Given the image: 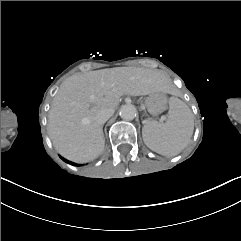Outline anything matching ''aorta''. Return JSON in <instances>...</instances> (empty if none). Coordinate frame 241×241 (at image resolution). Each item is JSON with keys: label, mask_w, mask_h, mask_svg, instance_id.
I'll list each match as a JSON object with an SVG mask.
<instances>
[{"label": "aorta", "mask_w": 241, "mask_h": 241, "mask_svg": "<svg viewBox=\"0 0 241 241\" xmlns=\"http://www.w3.org/2000/svg\"><path fill=\"white\" fill-rule=\"evenodd\" d=\"M137 115V110L132 104H125L120 108V117L124 120H133Z\"/></svg>", "instance_id": "aorta-1"}]
</instances>
